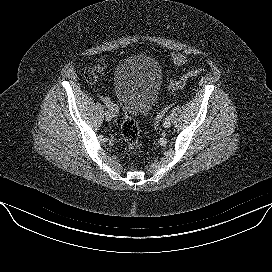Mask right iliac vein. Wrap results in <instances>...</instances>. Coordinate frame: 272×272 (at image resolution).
<instances>
[{
  "instance_id": "right-iliac-vein-1",
  "label": "right iliac vein",
  "mask_w": 272,
  "mask_h": 272,
  "mask_svg": "<svg viewBox=\"0 0 272 272\" xmlns=\"http://www.w3.org/2000/svg\"><path fill=\"white\" fill-rule=\"evenodd\" d=\"M105 119H106V121H111V119H112L111 114L108 113V115H105Z\"/></svg>"
}]
</instances>
